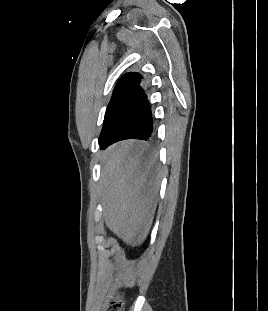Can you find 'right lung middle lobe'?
<instances>
[{
    "instance_id": "1",
    "label": "right lung middle lobe",
    "mask_w": 268,
    "mask_h": 311,
    "mask_svg": "<svg viewBox=\"0 0 268 311\" xmlns=\"http://www.w3.org/2000/svg\"><path fill=\"white\" fill-rule=\"evenodd\" d=\"M134 90L135 87H125L113 91L112 98L106 109L103 128L101 130L99 140H101L106 135V133L115 123V121L123 111L124 107L128 103L129 99L131 98Z\"/></svg>"
}]
</instances>
